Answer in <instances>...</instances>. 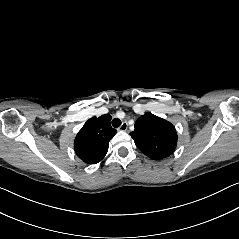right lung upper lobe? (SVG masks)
<instances>
[{"mask_svg": "<svg viewBox=\"0 0 239 239\" xmlns=\"http://www.w3.org/2000/svg\"><path fill=\"white\" fill-rule=\"evenodd\" d=\"M110 120L109 114L90 118L78 132L74 149L85 163L96 164L105 157L109 141L117 132L111 127Z\"/></svg>", "mask_w": 239, "mask_h": 239, "instance_id": "obj_1", "label": "right lung upper lobe"}]
</instances>
